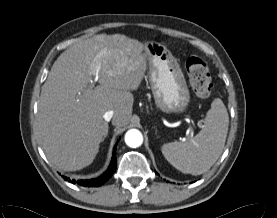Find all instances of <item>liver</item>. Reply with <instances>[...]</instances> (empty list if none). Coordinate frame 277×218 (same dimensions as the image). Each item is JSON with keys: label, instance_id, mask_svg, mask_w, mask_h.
Returning a JSON list of instances; mask_svg holds the SVG:
<instances>
[{"label": "liver", "instance_id": "6515ba94", "mask_svg": "<svg viewBox=\"0 0 277 218\" xmlns=\"http://www.w3.org/2000/svg\"><path fill=\"white\" fill-rule=\"evenodd\" d=\"M145 46L125 35H96L65 50L54 62L42 86L37 135L47 158L63 171L90 165L108 134L104 120L112 110V124L127 125L147 69ZM93 70L100 85L89 88Z\"/></svg>", "mask_w": 277, "mask_h": 218}]
</instances>
